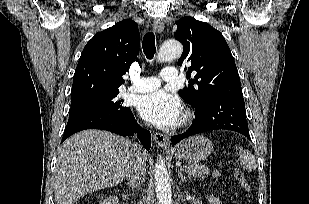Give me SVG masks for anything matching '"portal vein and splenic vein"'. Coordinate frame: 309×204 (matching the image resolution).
<instances>
[{"label": "portal vein and splenic vein", "instance_id": "portal-vein-and-splenic-vein-1", "mask_svg": "<svg viewBox=\"0 0 309 204\" xmlns=\"http://www.w3.org/2000/svg\"><path fill=\"white\" fill-rule=\"evenodd\" d=\"M181 170H182V169H181ZM183 170H186V167H184Z\"/></svg>", "mask_w": 309, "mask_h": 204}]
</instances>
